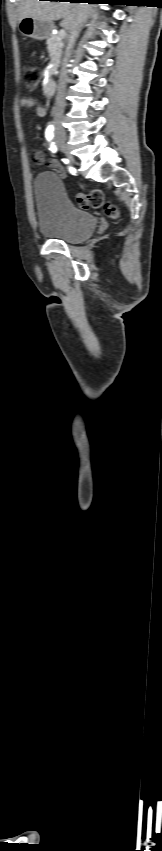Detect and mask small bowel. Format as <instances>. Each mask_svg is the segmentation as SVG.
I'll list each match as a JSON object with an SVG mask.
<instances>
[{"label": "small bowel", "instance_id": "c3829d8e", "mask_svg": "<svg viewBox=\"0 0 162 851\" xmlns=\"http://www.w3.org/2000/svg\"><path fill=\"white\" fill-rule=\"evenodd\" d=\"M20 104L23 108L33 109L35 111V114L39 117H43L46 114L45 108L43 106L39 105L38 103H36L32 98H28V97L23 98L20 101ZM32 157H33L35 164H37L39 166L46 165V166H49V167H51V168H53L57 171L62 170L60 164L58 163V161L55 157H52L51 159L47 160L45 158L44 153L40 149H35L33 151Z\"/></svg>", "mask_w": 162, "mask_h": 851}]
</instances>
